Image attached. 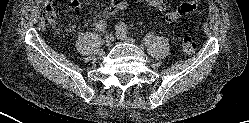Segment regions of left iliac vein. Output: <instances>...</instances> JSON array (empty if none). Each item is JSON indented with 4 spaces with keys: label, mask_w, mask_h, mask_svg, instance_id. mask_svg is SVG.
I'll list each match as a JSON object with an SVG mask.
<instances>
[{
    "label": "left iliac vein",
    "mask_w": 249,
    "mask_h": 123,
    "mask_svg": "<svg viewBox=\"0 0 249 123\" xmlns=\"http://www.w3.org/2000/svg\"><path fill=\"white\" fill-rule=\"evenodd\" d=\"M116 36L123 42L134 43V40L131 37L127 36L125 33H122L120 31L116 32Z\"/></svg>",
    "instance_id": "4c4485c4"
}]
</instances>
